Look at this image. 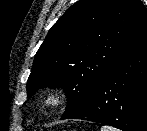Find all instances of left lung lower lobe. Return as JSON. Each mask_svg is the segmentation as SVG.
Masks as SVG:
<instances>
[{
  "mask_svg": "<svg viewBox=\"0 0 147 131\" xmlns=\"http://www.w3.org/2000/svg\"><path fill=\"white\" fill-rule=\"evenodd\" d=\"M64 119L147 131V41L118 60L86 104Z\"/></svg>",
  "mask_w": 147,
  "mask_h": 131,
  "instance_id": "1",
  "label": "left lung lower lobe"
}]
</instances>
